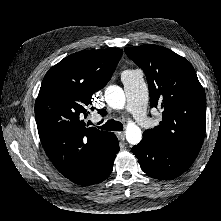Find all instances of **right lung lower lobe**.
Returning <instances> with one entry per match:
<instances>
[{
    "mask_svg": "<svg viewBox=\"0 0 221 221\" xmlns=\"http://www.w3.org/2000/svg\"><path fill=\"white\" fill-rule=\"evenodd\" d=\"M111 140L112 151L107 165L94 174L79 179L71 180L72 182L79 185L97 184L102 182L109 176V174L112 172L114 158L116 157V154L119 151V142L114 134L111 135Z\"/></svg>",
    "mask_w": 221,
    "mask_h": 221,
    "instance_id": "98d812e1",
    "label": "right lung lower lobe"
}]
</instances>
